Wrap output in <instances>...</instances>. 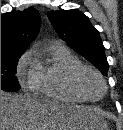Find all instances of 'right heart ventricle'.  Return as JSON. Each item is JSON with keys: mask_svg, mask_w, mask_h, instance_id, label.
Listing matches in <instances>:
<instances>
[{"mask_svg": "<svg viewBox=\"0 0 123 130\" xmlns=\"http://www.w3.org/2000/svg\"><path fill=\"white\" fill-rule=\"evenodd\" d=\"M35 65L29 84L34 93L65 103L85 101L70 83L71 72L83 63L67 46L59 42L50 44L42 57H35Z\"/></svg>", "mask_w": 123, "mask_h": 130, "instance_id": "e07e8e85", "label": "right heart ventricle"}]
</instances>
